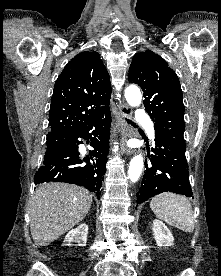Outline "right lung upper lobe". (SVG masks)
<instances>
[{
    "instance_id": "obj_1",
    "label": "right lung upper lobe",
    "mask_w": 221,
    "mask_h": 276,
    "mask_svg": "<svg viewBox=\"0 0 221 276\" xmlns=\"http://www.w3.org/2000/svg\"><path fill=\"white\" fill-rule=\"evenodd\" d=\"M109 74L94 52L76 55L55 82L47 136H72L109 109Z\"/></svg>"
}]
</instances>
